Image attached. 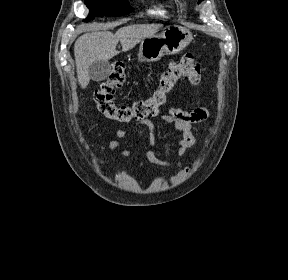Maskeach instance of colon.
<instances>
[{"mask_svg":"<svg viewBox=\"0 0 288 280\" xmlns=\"http://www.w3.org/2000/svg\"><path fill=\"white\" fill-rule=\"evenodd\" d=\"M181 79L192 84H198L202 79L201 67L191 54L171 62L161 73L158 87L148 97L131 104L117 105L113 95L116 88L124 83L125 72L123 65L115 64L108 80L96 91L95 101L98 110L110 119L119 122L142 120L158 113L159 108L165 105L168 93Z\"/></svg>","mask_w":288,"mask_h":280,"instance_id":"1","label":"colon"}]
</instances>
